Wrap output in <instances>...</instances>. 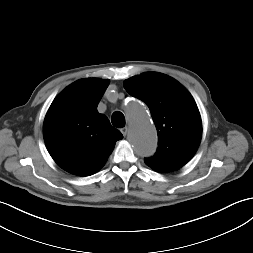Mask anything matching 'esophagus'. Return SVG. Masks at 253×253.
I'll return each instance as SVG.
<instances>
[{"mask_svg": "<svg viewBox=\"0 0 253 253\" xmlns=\"http://www.w3.org/2000/svg\"><path fill=\"white\" fill-rule=\"evenodd\" d=\"M121 132H122V134H123L124 136H126V135H127V132H128V127H123V128L121 129Z\"/></svg>", "mask_w": 253, "mask_h": 253, "instance_id": "esophagus-1", "label": "esophagus"}]
</instances>
